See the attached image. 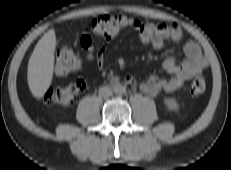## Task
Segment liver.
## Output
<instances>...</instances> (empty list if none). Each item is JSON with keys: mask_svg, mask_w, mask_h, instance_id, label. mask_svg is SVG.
<instances>
[{"mask_svg": "<svg viewBox=\"0 0 231 170\" xmlns=\"http://www.w3.org/2000/svg\"><path fill=\"white\" fill-rule=\"evenodd\" d=\"M56 44L55 30L50 29L38 41L29 59L28 85L32 95L38 99L45 95L53 79Z\"/></svg>", "mask_w": 231, "mask_h": 170, "instance_id": "liver-1", "label": "liver"}]
</instances>
